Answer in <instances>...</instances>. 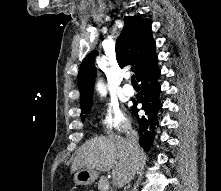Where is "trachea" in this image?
Segmentation results:
<instances>
[{"instance_id": "1", "label": "trachea", "mask_w": 221, "mask_h": 191, "mask_svg": "<svg viewBox=\"0 0 221 191\" xmlns=\"http://www.w3.org/2000/svg\"><path fill=\"white\" fill-rule=\"evenodd\" d=\"M131 82H132V84H137V81L135 80L134 75H133V76H131Z\"/></svg>"}]
</instances>
